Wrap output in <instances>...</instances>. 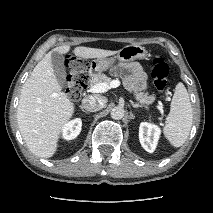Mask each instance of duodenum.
Returning a JSON list of instances; mask_svg holds the SVG:
<instances>
[{"instance_id": "duodenum-1", "label": "duodenum", "mask_w": 213, "mask_h": 213, "mask_svg": "<svg viewBox=\"0 0 213 213\" xmlns=\"http://www.w3.org/2000/svg\"><path fill=\"white\" fill-rule=\"evenodd\" d=\"M89 81H90V78L88 79V82H87L86 88L88 87Z\"/></svg>"}]
</instances>
